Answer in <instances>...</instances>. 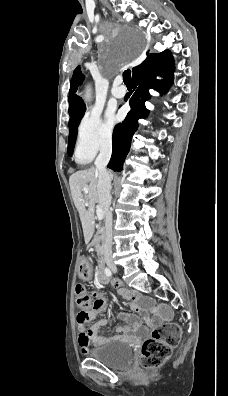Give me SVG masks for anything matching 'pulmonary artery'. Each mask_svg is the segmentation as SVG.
I'll return each mask as SVG.
<instances>
[{
    "mask_svg": "<svg viewBox=\"0 0 228 396\" xmlns=\"http://www.w3.org/2000/svg\"><path fill=\"white\" fill-rule=\"evenodd\" d=\"M120 81L116 80L112 86L111 94L115 98H122L125 95V89L120 85Z\"/></svg>",
    "mask_w": 228,
    "mask_h": 396,
    "instance_id": "obj_1",
    "label": "pulmonary artery"
}]
</instances>
